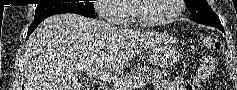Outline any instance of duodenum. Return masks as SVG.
<instances>
[{
  "instance_id": "1",
  "label": "duodenum",
  "mask_w": 237,
  "mask_h": 90,
  "mask_svg": "<svg viewBox=\"0 0 237 90\" xmlns=\"http://www.w3.org/2000/svg\"><path fill=\"white\" fill-rule=\"evenodd\" d=\"M100 90H111V87H100Z\"/></svg>"
}]
</instances>
